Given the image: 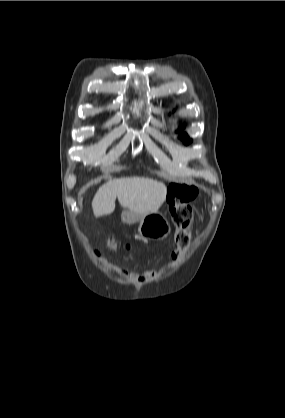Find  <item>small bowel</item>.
I'll return each mask as SVG.
<instances>
[{
    "label": "small bowel",
    "instance_id": "1",
    "mask_svg": "<svg viewBox=\"0 0 285 418\" xmlns=\"http://www.w3.org/2000/svg\"><path fill=\"white\" fill-rule=\"evenodd\" d=\"M134 277L139 282H145L147 280H152L155 277V274L150 273V272H146V273H143V274L134 275Z\"/></svg>",
    "mask_w": 285,
    "mask_h": 418
}]
</instances>
